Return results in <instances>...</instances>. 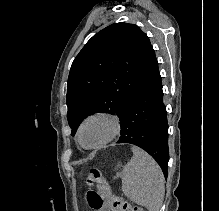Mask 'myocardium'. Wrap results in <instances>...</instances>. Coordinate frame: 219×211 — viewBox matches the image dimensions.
<instances>
[{"label": "myocardium", "mask_w": 219, "mask_h": 211, "mask_svg": "<svg viewBox=\"0 0 219 211\" xmlns=\"http://www.w3.org/2000/svg\"><path fill=\"white\" fill-rule=\"evenodd\" d=\"M94 119H102L106 121L109 125V130L105 138L100 143L93 146H85L81 140V133L84 126L89 121ZM120 131H121V121L117 114L109 111H97L89 114L82 120L77 131V138L79 144L85 149H100L106 144H108L109 142H111L113 139H115L120 134Z\"/></svg>", "instance_id": "1"}]
</instances>
